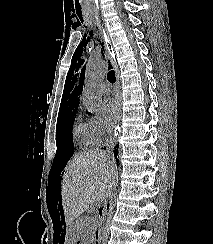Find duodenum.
I'll return each instance as SVG.
<instances>
[{
	"label": "duodenum",
	"mask_w": 213,
	"mask_h": 244,
	"mask_svg": "<svg viewBox=\"0 0 213 244\" xmlns=\"http://www.w3.org/2000/svg\"><path fill=\"white\" fill-rule=\"evenodd\" d=\"M100 219L101 220L103 219L102 215H100ZM101 236H102V230L99 228L93 237V244H101Z\"/></svg>",
	"instance_id": "1"
}]
</instances>
